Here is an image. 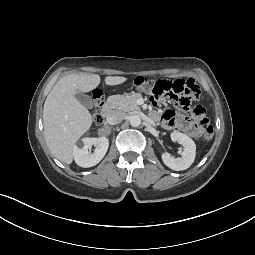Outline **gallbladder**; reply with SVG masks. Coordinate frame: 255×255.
Segmentation results:
<instances>
[{
    "label": "gallbladder",
    "instance_id": "bac80fb5",
    "mask_svg": "<svg viewBox=\"0 0 255 255\" xmlns=\"http://www.w3.org/2000/svg\"><path fill=\"white\" fill-rule=\"evenodd\" d=\"M75 97L87 109H92L93 108V100L89 95H86L82 92H78L75 95Z\"/></svg>",
    "mask_w": 255,
    "mask_h": 255
}]
</instances>
